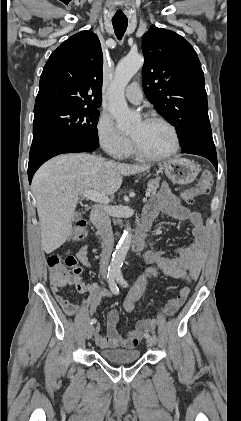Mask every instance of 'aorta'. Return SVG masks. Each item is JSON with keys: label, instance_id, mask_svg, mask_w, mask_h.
I'll use <instances>...</instances> for the list:
<instances>
[{"label": "aorta", "instance_id": "obj_1", "mask_svg": "<svg viewBox=\"0 0 241 421\" xmlns=\"http://www.w3.org/2000/svg\"><path fill=\"white\" fill-rule=\"evenodd\" d=\"M144 59L141 55H128L122 59L116 69L110 86L109 110L116 120L117 128L126 130L139 120V116L130 111L124 96L125 88L132 77L142 67ZM132 240L131 227L127 224L116 250L113 253L111 265L121 267Z\"/></svg>", "mask_w": 241, "mask_h": 421}]
</instances>
